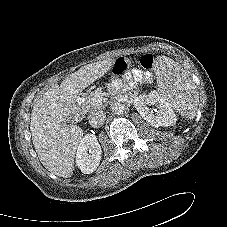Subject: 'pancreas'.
Wrapping results in <instances>:
<instances>
[{
  "instance_id": "pancreas-1",
  "label": "pancreas",
  "mask_w": 227,
  "mask_h": 227,
  "mask_svg": "<svg viewBox=\"0 0 227 227\" xmlns=\"http://www.w3.org/2000/svg\"><path fill=\"white\" fill-rule=\"evenodd\" d=\"M101 97V91L99 89L90 93L87 101L83 104V111L93 113L94 111L102 107V102L98 101Z\"/></svg>"
}]
</instances>
